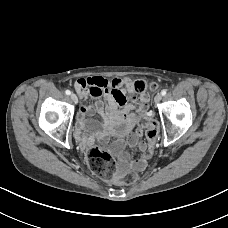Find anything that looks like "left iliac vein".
I'll return each mask as SVG.
<instances>
[{
  "mask_svg": "<svg viewBox=\"0 0 228 228\" xmlns=\"http://www.w3.org/2000/svg\"><path fill=\"white\" fill-rule=\"evenodd\" d=\"M161 99H162V94L157 93L154 97V102L159 103L161 101Z\"/></svg>",
  "mask_w": 228,
  "mask_h": 228,
  "instance_id": "obj_1",
  "label": "left iliac vein"
}]
</instances>
